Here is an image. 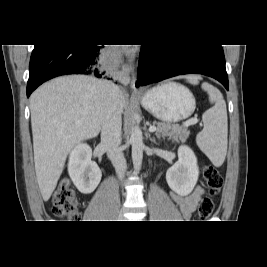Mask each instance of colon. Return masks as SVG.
Returning <instances> with one entry per match:
<instances>
[{"instance_id":"colon-1","label":"colon","mask_w":267,"mask_h":267,"mask_svg":"<svg viewBox=\"0 0 267 267\" xmlns=\"http://www.w3.org/2000/svg\"><path fill=\"white\" fill-rule=\"evenodd\" d=\"M203 177L207 186V194L201 199L198 207V216L204 220L209 218L214 210L213 198L223 186L221 173L213 166L206 165ZM52 212L55 216L76 220L79 218V205L75 192L68 180L59 183L53 195Z\"/></svg>"}]
</instances>
